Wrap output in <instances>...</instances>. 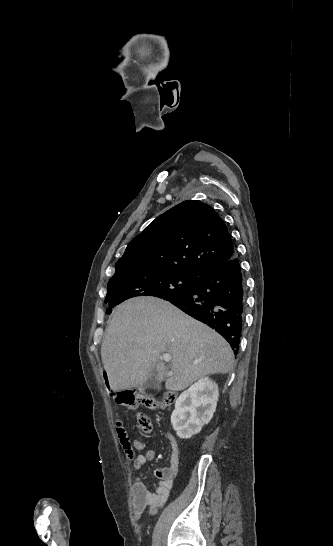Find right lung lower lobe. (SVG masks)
Listing matches in <instances>:
<instances>
[{
	"label": "right lung lower lobe",
	"instance_id": "right-lung-lower-lobe-1",
	"mask_svg": "<svg viewBox=\"0 0 333 546\" xmlns=\"http://www.w3.org/2000/svg\"><path fill=\"white\" fill-rule=\"evenodd\" d=\"M221 334L238 352L244 324L245 283L237 255L209 268L183 294L163 298Z\"/></svg>",
	"mask_w": 333,
	"mask_h": 546
}]
</instances>
